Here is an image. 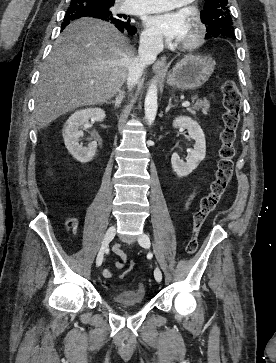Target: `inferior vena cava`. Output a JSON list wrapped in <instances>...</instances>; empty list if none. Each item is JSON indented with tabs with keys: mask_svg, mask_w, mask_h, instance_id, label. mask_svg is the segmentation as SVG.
I'll return each instance as SVG.
<instances>
[{
	"mask_svg": "<svg viewBox=\"0 0 276 363\" xmlns=\"http://www.w3.org/2000/svg\"><path fill=\"white\" fill-rule=\"evenodd\" d=\"M163 50V38L157 34H144L140 38L138 56L129 64L127 87L131 90L138 82L146 66L152 64Z\"/></svg>",
	"mask_w": 276,
	"mask_h": 363,
	"instance_id": "obj_1",
	"label": "inferior vena cava"
}]
</instances>
